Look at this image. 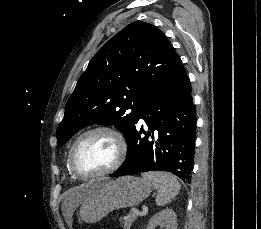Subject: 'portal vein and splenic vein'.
<instances>
[{
    "instance_id": "18ae733b",
    "label": "portal vein and splenic vein",
    "mask_w": 261,
    "mask_h": 229,
    "mask_svg": "<svg viewBox=\"0 0 261 229\" xmlns=\"http://www.w3.org/2000/svg\"><path fill=\"white\" fill-rule=\"evenodd\" d=\"M148 212V206L145 204H142V210L140 208H137L136 210H133V213H137L140 218H143L144 215H147ZM125 221L128 219V217H124Z\"/></svg>"
}]
</instances>
